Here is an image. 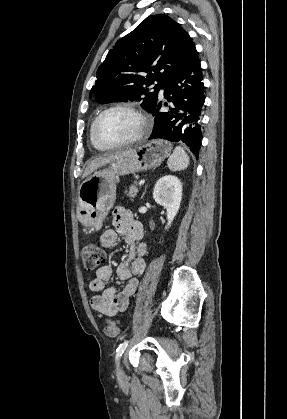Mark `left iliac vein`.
<instances>
[{"label": "left iliac vein", "instance_id": "1", "mask_svg": "<svg viewBox=\"0 0 287 419\" xmlns=\"http://www.w3.org/2000/svg\"><path fill=\"white\" fill-rule=\"evenodd\" d=\"M116 373H117V377L119 378V379H125V373H124V371H123V368H122V365H121V361L119 360L118 361V363H117V370H116Z\"/></svg>", "mask_w": 287, "mask_h": 419}]
</instances>
